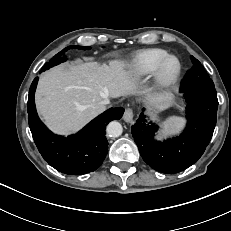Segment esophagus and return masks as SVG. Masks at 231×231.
<instances>
[{
    "mask_svg": "<svg viewBox=\"0 0 231 231\" xmlns=\"http://www.w3.org/2000/svg\"><path fill=\"white\" fill-rule=\"evenodd\" d=\"M123 119L125 122H131L133 120V111L131 108H127L123 114Z\"/></svg>",
    "mask_w": 231,
    "mask_h": 231,
    "instance_id": "obj_1",
    "label": "esophagus"
}]
</instances>
